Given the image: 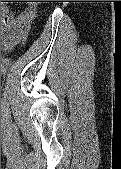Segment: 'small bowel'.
Listing matches in <instances>:
<instances>
[{"label": "small bowel", "instance_id": "small-bowel-1", "mask_svg": "<svg viewBox=\"0 0 121 169\" xmlns=\"http://www.w3.org/2000/svg\"><path fill=\"white\" fill-rule=\"evenodd\" d=\"M36 17L34 8L20 14L8 10L4 12L2 45L5 52H11L26 41Z\"/></svg>", "mask_w": 121, "mask_h": 169}]
</instances>
